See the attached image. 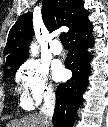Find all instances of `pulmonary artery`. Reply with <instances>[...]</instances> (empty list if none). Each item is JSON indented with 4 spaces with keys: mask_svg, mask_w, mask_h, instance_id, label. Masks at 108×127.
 I'll return each mask as SVG.
<instances>
[{
    "mask_svg": "<svg viewBox=\"0 0 108 127\" xmlns=\"http://www.w3.org/2000/svg\"><path fill=\"white\" fill-rule=\"evenodd\" d=\"M63 51V48L58 40H54L51 44V52L54 55H59Z\"/></svg>",
    "mask_w": 108,
    "mask_h": 127,
    "instance_id": "1",
    "label": "pulmonary artery"
}]
</instances>
